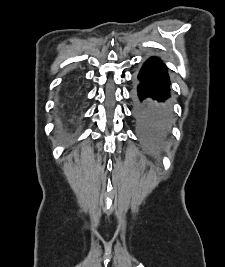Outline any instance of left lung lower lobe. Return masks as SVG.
Masks as SVG:
<instances>
[{"instance_id": "obj_1", "label": "left lung lower lobe", "mask_w": 225, "mask_h": 267, "mask_svg": "<svg viewBox=\"0 0 225 267\" xmlns=\"http://www.w3.org/2000/svg\"><path fill=\"white\" fill-rule=\"evenodd\" d=\"M170 79L168 70L158 57H150L143 64L134 82V99L137 107H145L153 121L170 126Z\"/></svg>"}]
</instances>
